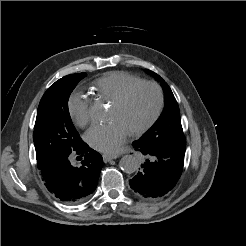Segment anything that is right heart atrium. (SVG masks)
Segmentation results:
<instances>
[{"mask_svg": "<svg viewBox=\"0 0 246 246\" xmlns=\"http://www.w3.org/2000/svg\"><path fill=\"white\" fill-rule=\"evenodd\" d=\"M68 112L72 121L80 127L90 121V99L82 91H75L68 99Z\"/></svg>", "mask_w": 246, "mask_h": 246, "instance_id": "obj_1", "label": "right heart atrium"}]
</instances>
